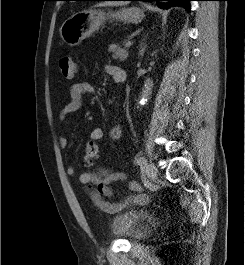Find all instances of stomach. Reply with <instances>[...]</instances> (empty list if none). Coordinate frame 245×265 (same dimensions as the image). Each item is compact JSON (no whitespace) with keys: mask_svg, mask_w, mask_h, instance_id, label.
<instances>
[{"mask_svg":"<svg viewBox=\"0 0 245 265\" xmlns=\"http://www.w3.org/2000/svg\"><path fill=\"white\" fill-rule=\"evenodd\" d=\"M144 16V11L137 7L123 8L119 11H109L108 13L96 9H84L63 22L60 28V36L67 45L74 47L99 30L108 19L139 23Z\"/></svg>","mask_w":245,"mask_h":265,"instance_id":"obj_1","label":"stomach"}]
</instances>
